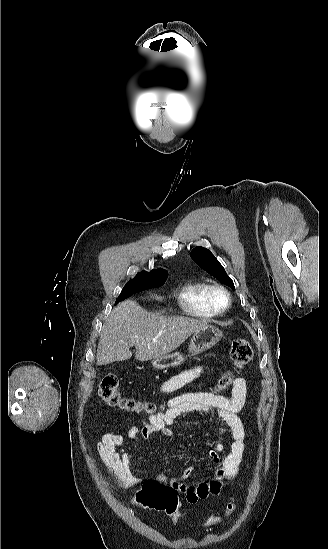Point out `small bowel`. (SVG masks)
Returning <instances> with one entry per match:
<instances>
[{
	"label": "small bowel",
	"instance_id": "c3829d8e",
	"mask_svg": "<svg viewBox=\"0 0 328 549\" xmlns=\"http://www.w3.org/2000/svg\"><path fill=\"white\" fill-rule=\"evenodd\" d=\"M207 365H196L164 382L160 390L163 393H170L182 388L188 383L200 377L206 370ZM247 384L244 372L234 380L230 397H223L211 392H193L169 399L162 411L150 415L142 421V429L130 424L127 433L130 438L137 442L151 439L154 435L163 437L173 436V426L176 418L185 413H211L217 416L224 427L216 430L221 439L215 447L208 451V455L214 464L213 477L207 481L193 485L183 481L173 480L172 485L177 488L190 504H195L208 497L219 496L226 481L232 480L239 472L245 450V430L239 413L245 406ZM230 433L232 441L229 451L226 449L225 436ZM97 452L107 472L115 482L122 488H132L140 485L143 481V471L134 462L133 456L124 448L123 437L115 430L105 432L97 445ZM191 472L188 466L183 472L186 479ZM161 480L165 477L160 476Z\"/></svg>",
	"mask_w": 328,
	"mask_h": 549
}]
</instances>
